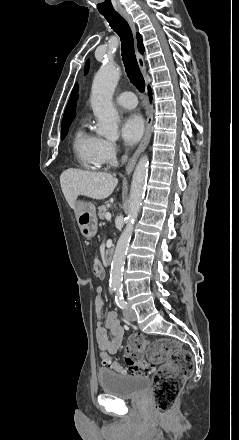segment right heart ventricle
I'll use <instances>...</instances> for the list:
<instances>
[{"label":"right heart ventricle","instance_id":"e07e8e85","mask_svg":"<svg viewBox=\"0 0 239 440\" xmlns=\"http://www.w3.org/2000/svg\"><path fill=\"white\" fill-rule=\"evenodd\" d=\"M98 141V137L83 128L75 131L71 140V148L79 166L88 170L102 168L104 162L99 154Z\"/></svg>","mask_w":239,"mask_h":440}]
</instances>
